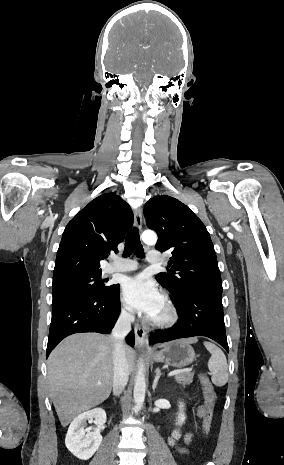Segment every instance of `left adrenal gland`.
I'll use <instances>...</instances> for the list:
<instances>
[{"instance_id":"left-adrenal-gland-1","label":"left adrenal gland","mask_w":284,"mask_h":465,"mask_svg":"<svg viewBox=\"0 0 284 465\" xmlns=\"http://www.w3.org/2000/svg\"><path fill=\"white\" fill-rule=\"evenodd\" d=\"M155 373H156V375H155L154 383H153V385H152L153 391H155V389H156V387H157V383H158V381H159V379H160V377H161V371H160V369H156Z\"/></svg>"}]
</instances>
